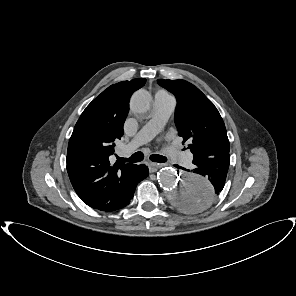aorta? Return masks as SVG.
<instances>
[{
    "mask_svg": "<svg viewBox=\"0 0 296 296\" xmlns=\"http://www.w3.org/2000/svg\"><path fill=\"white\" fill-rule=\"evenodd\" d=\"M130 107L137 114H147L152 108L151 95L144 90L136 91ZM157 178L168 202L177 208L198 213L207 209L213 201V186L200 173L166 167L159 171Z\"/></svg>",
    "mask_w": 296,
    "mask_h": 296,
    "instance_id": "762f6f07",
    "label": "aorta"
}]
</instances>
